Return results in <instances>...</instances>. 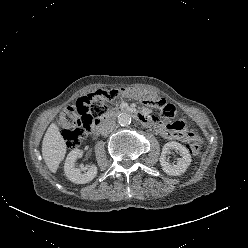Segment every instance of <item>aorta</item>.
I'll return each instance as SVG.
<instances>
[{
    "label": "aorta",
    "mask_w": 248,
    "mask_h": 248,
    "mask_svg": "<svg viewBox=\"0 0 248 248\" xmlns=\"http://www.w3.org/2000/svg\"><path fill=\"white\" fill-rule=\"evenodd\" d=\"M118 123L121 125V126H127V125H130L131 123V117L129 114L127 113H120L118 115Z\"/></svg>",
    "instance_id": "1"
}]
</instances>
